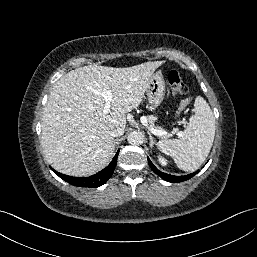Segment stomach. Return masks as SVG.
I'll use <instances>...</instances> for the list:
<instances>
[{
	"mask_svg": "<svg viewBox=\"0 0 257 257\" xmlns=\"http://www.w3.org/2000/svg\"><path fill=\"white\" fill-rule=\"evenodd\" d=\"M147 97L150 105L158 107L165 95V81L161 72L153 73L147 86Z\"/></svg>",
	"mask_w": 257,
	"mask_h": 257,
	"instance_id": "obj_1",
	"label": "stomach"
}]
</instances>
